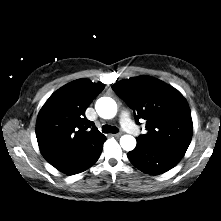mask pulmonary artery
Here are the masks:
<instances>
[{"label":"pulmonary artery","mask_w":221,"mask_h":221,"mask_svg":"<svg viewBox=\"0 0 221 221\" xmlns=\"http://www.w3.org/2000/svg\"><path fill=\"white\" fill-rule=\"evenodd\" d=\"M120 123L122 127L132 134H137V127L134 125L132 120L130 119L129 113L127 111H122L120 114Z\"/></svg>","instance_id":"pulmonary-artery-1"}]
</instances>
